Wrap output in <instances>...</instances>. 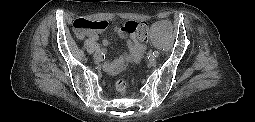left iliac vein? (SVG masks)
<instances>
[{
    "label": "left iliac vein",
    "mask_w": 255,
    "mask_h": 122,
    "mask_svg": "<svg viewBox=\"0 0 255 122\" xmlns=\"http://www.w3.org/2000/svg\"><path fill=\"white\" fill-rule=\"evenodd\" d=\"M156 64H157V60L154 57L149 60L150 66H155Z\"/></svg>",
    "instance_id": "4c4485c4"
}]
</instances>
